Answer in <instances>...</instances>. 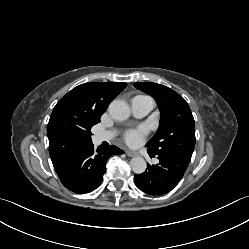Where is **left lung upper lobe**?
Returning <instances> with one entry per match:
<instances>
[{
    "label": "left lung upper lobe",
    "mask_w": 249,
    "mask_h": 249,
    "mask_svg": "<svg viewBox=\"0 0 249 249\" xmlns=\"http://www.w3.org/2000/svg\"><path fill=\"white\" fill-rule=\"evenodd\" d=\"M151 95L161 112L155 136L146 144L153 154H165L191 160L195 147L194 118L187 102L172 89L156 83H134Z\"/></svg>",
    "instance_id": "5c2ea615"
}]
</instances>
